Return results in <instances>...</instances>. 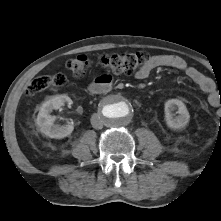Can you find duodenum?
Returning a JSON list of instances; mask_svg holds the SVG:
<instances>
[{"label":"duodenum","mask_w":221,"mask_h":221,"mask_svg":"<svg viewBox=\"0 0 221 221\" xmlns=\"http://www.w3.org/2000/svg\"><path fill=\"white\" fill-rule=\"evenodd\" d=\"M112 89L110 82L106 79H97L92 82L89 87L88 91L91 94H103Z\"/></svg>","instance_id":"410a0bca"}]
</instances>
